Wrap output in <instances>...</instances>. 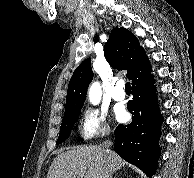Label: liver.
Segmentation results:
<instances>
[{"label": "liver", "instance_id": "liver-1", "mask_svg": "<svg viewBox=\"0 0 194 178\" xmlns=\"http://www.w3.org/2000/svg\"><path fill=\"white\" fill-rule=\"evenodd\" d=\"M112 171L119 170L124 161L115 152H103L100 146H83L60 153L53 161L47 178H102L105 163Z\"/></svg>", "mask_w": 194, "mask_h": 178}]
</instances>
